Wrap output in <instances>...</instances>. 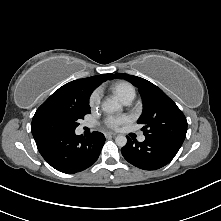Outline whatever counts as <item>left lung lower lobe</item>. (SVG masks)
I'll list each match as a JSON object with an SVG mask.
<instances>
[{"label":"left lung lower lobe","instance_id":"left-lung-lower-lobe-1","mask_svg":"<svg viewBox=\"0 0 221 221\" xmlns=\"http://www.w3.org/2000/svg\"><path fill=\"white\" fill-rule=\"evenodd\" d=\"M183 141L174 138H150L143 142L132 141L121 149L124 158L144 170H156L168 164L179 151Z\"/></svg>","mask_w":221,"mask_h":221}]
</instances>
